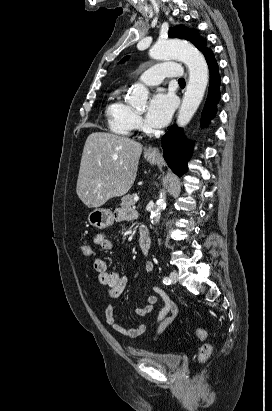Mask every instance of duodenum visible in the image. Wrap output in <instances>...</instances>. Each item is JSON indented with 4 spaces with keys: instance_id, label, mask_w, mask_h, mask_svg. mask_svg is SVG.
Instances as JSON below:
<instances>
[{
    "instance_id": "duodenum-1",
    "label": "duodenum",
    "mask_w": 272,
    "mask_h": 411,
    "mask_svg": "<svg viewBox=\"0 0 272 411\" xmlns=\"http://www.w3.org/2000/svg\"><path fill=\"white\" fill-rule=\"evenodd\" d=\"M139 248L143 254L148 255L151 251V237L145 226H140L139 231Z\"/></svg>"
}]
</instances>
